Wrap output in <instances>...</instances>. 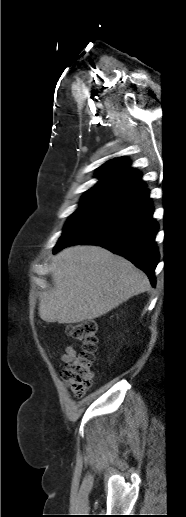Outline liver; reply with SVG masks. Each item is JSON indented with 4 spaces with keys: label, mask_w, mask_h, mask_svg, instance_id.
Listing matches in <instances>:
<instances>
[{
    "label": "liver",
    "mask_w": 186,
    "mask_h": 517,
    "mask_svg": "<svg viewBox=\"0 0 186 517\" xmlns=\"http://www.w3.org/2000/svg\"><path fill=\"white\" fill-rule=\"evenodd\" d=\"M53 265L54 288L39 303V316L48 323L98 318L150 286L143 271L99 246L68 247L54 256Z\"/></svg>",
    "instance_id": "1"
}]
</instances>
